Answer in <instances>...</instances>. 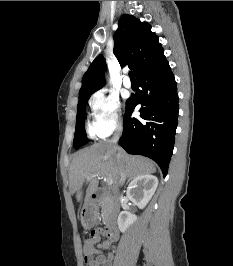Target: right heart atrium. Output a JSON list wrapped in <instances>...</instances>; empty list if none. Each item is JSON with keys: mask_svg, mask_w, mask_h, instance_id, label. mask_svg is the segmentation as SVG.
<instances>
[{"mask_svg": "<svg viewBox=\"0 0 233 266\" xmlns=\"http://www.w3.org/2000/svg\"><path fill=\"white\" fill-rule=\"evenodd\" d=\"M90 107L88 130L92 137L104 138L121 128V108L116 95L105 89L99 90L92 96Z\"/></svg>", "mask_w": 233, "mask_h": 266, "instance_id": "right-heart-atrium-1", "label": "right heart atrium"}]
</instances>
